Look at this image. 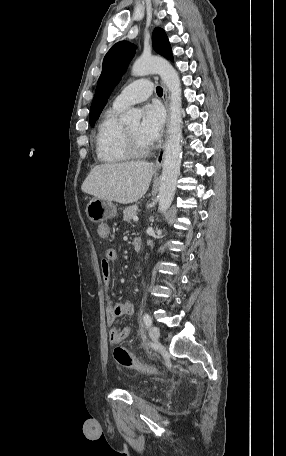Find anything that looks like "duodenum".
Listing matches in <instances>:
<instances>
[{
	"label": "duodenum",
	"instance_id": "1",
	"mask_svg": "<svg viewBox=\"0 0 286 456\" xmlns=\"http://www.w3.org/2000/svg\"><path fill=\"white\" fill-rule=\"evenodd\" d=\"M132 246H133V249L134 251L138 252L141 250V246H142V241L140 238H134L132 240Z\"/></svg>",
	"mask_w": 286,
	"mask_h": 456
}]
</instances>
